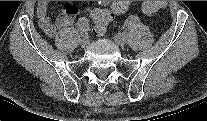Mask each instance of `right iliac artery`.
Instances as JSON below:
<instances>
[{"instance_id": "right-iliac-artery-1", "label": "right iliac artery", "mask_w": 207, "mask_h": 121, "mask_svg": "<svg viewBox=\"0 0 207 121\" xmlns=\"http://www.w3.org/2000/svg\"><path fill=\"white\" fill-rule=\"evenodd\" d=\"M78 30L80 31L81 35L84 36L87 34L88 31V20L86 18H82L78 22Z\"/></svg>"}]
</instances>
